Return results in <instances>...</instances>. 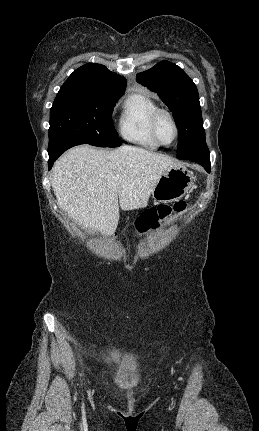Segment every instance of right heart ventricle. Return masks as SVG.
Here are the masks:
<instances>
[{"mask_svg": "<svg viewBox=\"0 0 259 431\" xmlns=\"http://www.w3.org/2000/svg\"><path fill=\"white\" fill-rule=\"evenodd\" d=\"M158 108L157 103L148 95L134 93L122 103L118 130L128 142L147 148H157L150 130V117Z\"/></svg>", "mask_w": 259, "mask_h": 431, "instance_id": "obj_1", "label": "right heart ventricle"}]
</instances>
